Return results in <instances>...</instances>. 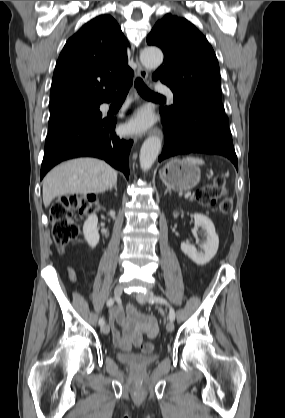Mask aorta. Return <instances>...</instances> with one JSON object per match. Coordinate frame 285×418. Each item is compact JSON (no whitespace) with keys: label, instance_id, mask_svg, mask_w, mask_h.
Here are the masks:
<instances>
[{"label":"aorta","instance_id":"obj_1","mask_svg":"<svg viewBox=\"0 0 285 418\" xmlns=\"http://www.w3.org/2000/svg\"><path fill=\"white\" fill-rule=\"evenodd\" d=\"M140 61L147 68H157L163 62V53L155 47L145 48L140 53ZM160 150V138L150 137L144 141L139 154L140 165L143 171H148L152 167Z\"/></svg>","mask_w":285,"mask_h":418}]
</instances>
